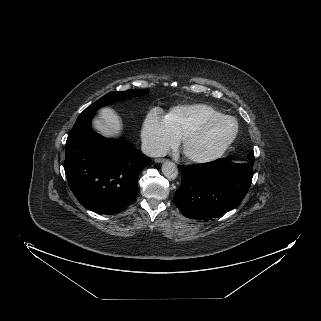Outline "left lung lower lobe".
Masks as SVG:
<instances>
[{
    "instance_id": "obj_1",
    "label": "left lung lower lobe",
    "mask_w": 321,
    "mask_h": 321,
    "mask_svg": "<svg viewBox=\"0 0 321 321\" xmlns=\"http://www.w3.org/2000/svg\"><path fill=\"white\" fill-rule=\"evenodd\" d=\"M234 164L227 158L186 166L174 203L187 218L208 220L237 207L251 185L254 156Z\"/></svg>"
}]
</instances>
